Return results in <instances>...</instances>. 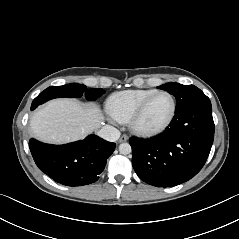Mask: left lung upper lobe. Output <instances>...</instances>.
Wrapping results in <instances>:
<instances>
[{
  "instance_id": "left-lung-upper-lobe-1",
  "label": "left lung upper lobe",
  "mask_w": 239,
  "mask_h": 239,
  "mask_svg": "<svg viewBox=\"0 0 239 239\" xmlns=\"http://www.w3.org/2000/svg\"><path fill=\"white\" fill-rule=\"evenodd\" d=\"M168 91L176 98V110H180L192 103L209 99L199 88L194 85H181L178 83H167L158 87Z\"/></svg>"
}]
</instances>
